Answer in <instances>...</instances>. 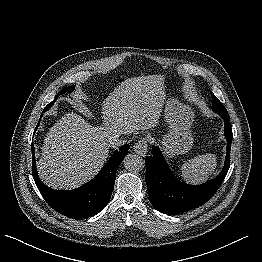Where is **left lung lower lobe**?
I'll list each match as a JSON object with an SVG mask.
<instances>
[{"label": "left lung lower lobe", "mask_w": 262, "mask_h": 262, "mask_svg": "<svg viewBox=\"0 0 262 262\" xmlns=\"http://www.w3.org/2000/svg\"><path fill=\"white\" fill-rule=\"evenodd\" d=\"M217 113L225 122L227 153L224 168L216 178L201 185H188L173 175L159 148L153 147L152 155L145 158L149 199L159 212L175 215L197 208L205 204L222 184L230 167L232 130L228 112Z\"/></svg>", "instance_id": "obj_1"}]
</instances>
